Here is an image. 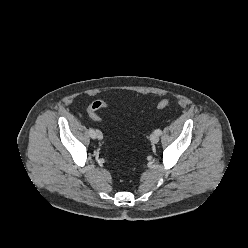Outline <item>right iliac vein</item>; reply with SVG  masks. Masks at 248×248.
I'll return each instance as SVG.
<instances>
[{"mask_svg":"<svg viewBox=\"0 0 248 248\" xmlns=\"http://www.w3.org/2000/svg\"><path fill=\"white\" fill-rule=\"evenodd\" d=\"M95 138L101 140L103 138L102 133L99 130L95 131Z\"/></svg>","mask_w":248,"mask_h":248,"instance_id":"63e3f726","label":"right iliac vein"}]
</instances>
